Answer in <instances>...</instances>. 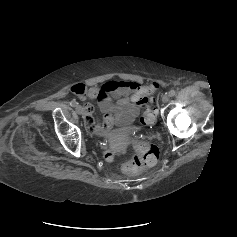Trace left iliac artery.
<instances>
[{"label":"left iliac artery","instance_id":"left-iliac-artery-1","mask_svg":"<svg viewBox=\"0 0 237 237\" xmlns=\"http://www.w3.org/2000/svg\"><path fill=\"white\" fill-rule=\"evenodd\" d=\"M175 95H176V91H175V90H170L169 96H170V97H173V96H175Z\"/></svg>","mask_w":237,"mask_h":237}]
</instances>
